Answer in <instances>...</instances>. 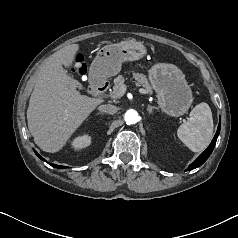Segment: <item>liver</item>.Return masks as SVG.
I'll list each match as a JSON object with an SVG mask.
<instances>
[{
    "mask_svg": "<svg viewBox=\"0 0 238 238\" xmlns=\"http://www.w3.org/2000/svg\"><path fill=\"white\" fill-rule=\"evenodd\" d=\"M104 43V42H101ZM78 44L68 45L43 63L29 100L27 122L43 151H59L102 100L81 95L77 81L63 68L73 63Z\"/></svg>",
    "mask_w": 238,
    "mask_h": 238,
    "instance_id": "liver-1",
    "label": "liver"
}]
</instances>
